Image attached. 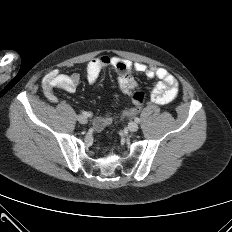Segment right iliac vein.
I'll list each match as a JSON object with an SVG mask.
<instances>
[{"label":"right iliac vein","instance_id":"obj_1","mask_svg":"<svg viewBox=\"0 0 232 232\" xmlns=\"http://www.w3.org/2000/svg\"><path fill=\"white\" fill-rule=\"evenodd\" d=\"M77 120L79 121V123L81 124H86L87 123V118L83 115H78L77 116Z\"/></svg>","mask_w":232,"mask_h":232}]
</instances>
